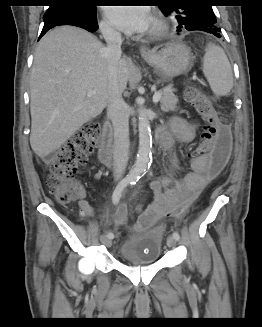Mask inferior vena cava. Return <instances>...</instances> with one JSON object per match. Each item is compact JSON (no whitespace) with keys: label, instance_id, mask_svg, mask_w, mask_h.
<instances>
[{"label":"inferior vena cava","instance_id":"1","mask_svg":"<svg viewBox=\"0 0 262 327\" xmlns=\"http://www.w3.org/2000/svg\"><path fill=\"white\" fill-rule=\"evenodd\" d=\"M101 32L107 43L105 55L110 81L107 113L114 128V178L119 180L125 172L129 154V115L116 79L117 67L122 54V37L118 31L108 25H102Z\"/></svg>","mask_w":262,"mask_h":327}]
</instances>
